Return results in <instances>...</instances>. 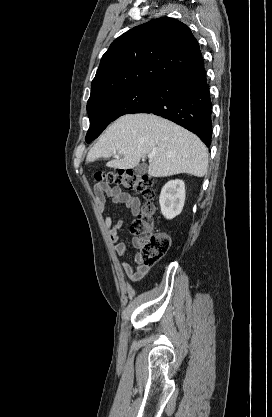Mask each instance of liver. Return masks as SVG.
<instances>
[{"label":"liver","mask_w":272,"mask_h":417,"mask_svg":"<svg viewBox=\"0 0 272 417\" xmlns=\"http://www.w3.org/2000/svg\"><path fill=\"white\" fill-rule=\"evenodd\" d=\"M151 152L148 174L166 177L187 173L203 177L208 168V150L193 133L152 114H129L118 118L88 152L86 161L109 158L115 153L123 158L106 165L115 169L136 167Z\"/></svg>","instance_id":"liver-1"}]
</instances>
